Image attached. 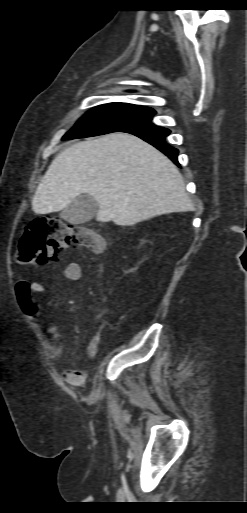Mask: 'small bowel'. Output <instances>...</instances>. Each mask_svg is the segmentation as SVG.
Segmentation results:
<instances>
[{"label": "small bowel", "mask_w": 247, "mask_h": 513, "mask_svg": "<svg viewBox=\"0 0 247 513\" xmlns=\"http://www.w3.org/2000/svg\"><path fill=\"white\" fill-rule=\"evenodd\" d=\"M82 269L79 263H67L63 269V276L70 281H77L81 278ZM43 285H31L25 280H20L16 285V296L18 304L23 313L32 321H39L41 312L37 304L33 300V295L41 292ZM47 342L49 347V359L51 361L59 360L65 352V345L57 328L53 325L46 326ZM94 354L92 345H88L86 355L88 357ZM67 384L80 387L83 377L75 369L68 370L64 373Z\"/></svg>", "instance_id": "obj_1"}]
</instances>
